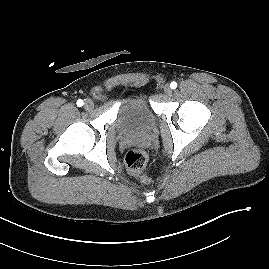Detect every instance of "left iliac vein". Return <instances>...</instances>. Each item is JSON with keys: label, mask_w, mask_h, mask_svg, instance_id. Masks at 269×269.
I'll use <instances>...</instances> for the list:
<instances>
[{"label": "left iliac vein", "mask_w": 269, "mask_h": 269, "mask_svg": "<svg viewBox=\"0 0 269 269\" xmlns=\"http://www.w3.org/2000/svg\"><path fill=\"white\" fill-rule=\"evenodd\" d=\"M163 90H164V93H165L166 95H171V94H172V89L170 88V85H169V84H166V85L164 86Z\"/></svg>", "instance_id": "left-iliac-vein-1"}]
</instances>
